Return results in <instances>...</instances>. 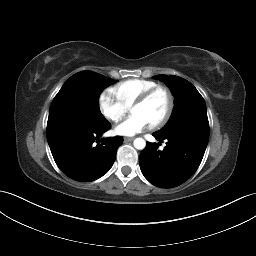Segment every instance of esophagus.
<instances>
[{"mask_svg":"<svg viewBox=\"0 0 256 256\" xmlns=\"http://www.w3.org/2000/svg\"><path fill=\"white\" fill-rule=\"evenodd\" d=\"M134 140V137H125L124 138V142H130V141H133Z\"/></svg>","mask_w":256,"mask_h":256,"instance_id":"1","label":"esophagus"}]
</instances>
